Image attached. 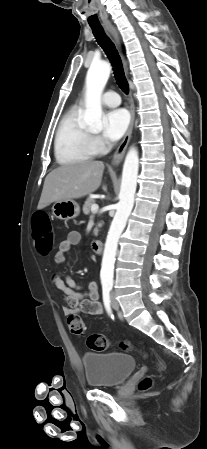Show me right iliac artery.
<instances>
[{"mask_svg": "<svg viewBox=\"0 0 207 449\" xmlns=\"http://www.w3.org/2000/svg\"><path fill=\"white\" fill-rule=\"evenodd\" d=\"M110 290H111V288L104 287L102 294H103V302H104L106 311L110 315V317L113 318V313H112V309H111V301H110Z\"/></svg>", "mask_w": 207, "mask_h": 449, "instance_id": "1", "label": "right iliac artery"}]
</instances>
